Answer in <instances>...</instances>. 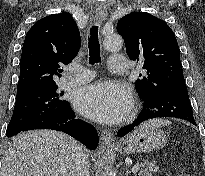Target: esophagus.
<instances>
[{"label":"esophagus","mask_w":205,"mask_h":176,"mask_svg":"<svg viewBox=\"0 0 205 176\" xmlns=\"http://www.w3.org/2000/svg\"><path fill=\"white\" fill-rule=\"evenodd\" d=\"M108 15L107 8L105 6H99L95 11L96 21L102 22ZM101 142L103 146L114 145V134L110 130H102L100 134Z\"/></svg>","instance_id":"esophagus-1"}]
</instances>
